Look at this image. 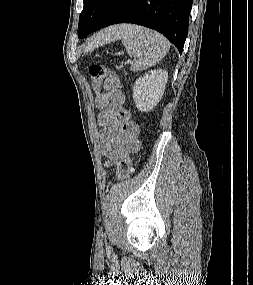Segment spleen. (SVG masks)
I'll return each mask as SVG.
<instances>
[{
    "mask_svg": "<svg viewBox=\"0 0 253 285\" xmlns=\"http://www.w3.org/2000/svg\"><path fill=\"white\" fill-rule=\"evenodd\" d=\"M120 38L128 55L138 58L131 67L133 71L152 67L170 49V42L163 35L141 26H132Z\"/></svg>",
    "mask_w": 253,
    "mask_h": 285,
    "instance_id": "obj_1",
    "label": "spleen"
}]
</instances>
